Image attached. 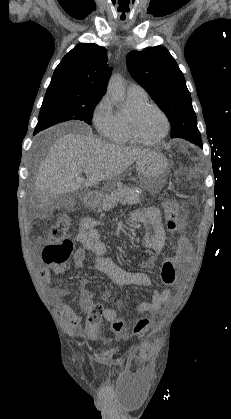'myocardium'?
<instances>
[{"label": "myocardium", "mask_w": 231, "mask_h": 419, "mask_svg": "<svg viewBox=\"0 0 231 419\" xmlns=\"http://www.w3.org/2000/svg\"><path fill=\"white\" fill-rule=\"evenodd\" d=\"M147 109H155L156 111H158L162 115V117L164 119V122H165V129H164L163 133L159 137H157L155 139H151V140L143 138L139 134V132L137 130V126H136L137 118L140 116V114H142ZM170 126H171L170 119H169L168 115L166 114V112L161 107H159L158 105L153 104V103H148L147 102V103H144L142 105H139V106L135 107L130 112L129 117H128V128H129L130 136L134 141H136L137 143L142 144V145H155V144L161 142L168 135V133L170 131Z\"/></svg>", "instance_id": "f54148a6"}]
</instances>
